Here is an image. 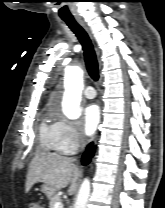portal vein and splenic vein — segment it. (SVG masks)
<instances>
[{"mask_svg":"<svg viewBox=\"0 0 165 208\" xmlns=\"http://www.w3.org/2000/svg\"><path fill=\"white\" fill-rule=\"evenodd\" d=\"M55 208H63V204L61 202H57L55 204Z\"/></svg>","mask_w":165,"mask_h":208,"instance_id":"obj_1","label":"portal vein and splenic vein"}]
</instances>
